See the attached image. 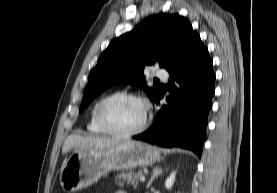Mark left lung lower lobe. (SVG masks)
<instances>
[{
  "label": "left lung lower lobe",
  "mask_w": 277,
  "mask_h": 193,
  "mask_svg": "<svg viewBox=\"0 0 277 193\" xmlns=\"http://www.w3.org/2000/svg\"><path fill=\"white\" fill-rule=\"evenodd\" d=\"M212 65L208 49L195 36L184 57L168 70L171 94L167 105L160 108L149 130L133 138L164 147L180 146L201 156L214 95ZM162 97L163 93L156 103Z\"/></svg>",
  "instance_id": "0a47b994"
}]
</instances>
